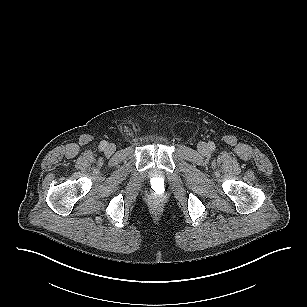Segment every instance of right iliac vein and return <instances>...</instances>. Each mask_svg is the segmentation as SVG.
Returning <instances> with one entry per match:
<instances>
[{
    "instance_id": "obj_1",
    "label": "right iliac vein",
    "mask_w": 307,
    "mask_h": 307,
    "mask_svg": "<svg viewBox=\"0 0 307 307\" xmlns=\"http://www.w3.org/2000/svg\"><path fill=\"white\" fill-rule=\"evenodd\" d=\"M116 150V146L113 143H109L105 146L104 152L106 155H112Z\"/></svg>"
}]
</instances>
